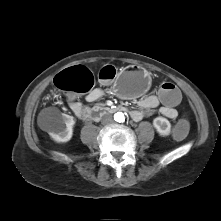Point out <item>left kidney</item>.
I'll use <instances>...</instances> for the list:
<instances>
[{
    "mask_svg": "<svg viewBox=\"0 0 221 221\" xmlns=\"http://www.w3.org/2000/svg\"><path fill=\"white\" fill-rule=\"evenodd\" d=\"M153 126L160 136H168L171 132L170 122L162 116L156 117L153 120Z\"/></svg>",
    "mask_w": 221,
    "mask_h": 221,
    "instance_id": "obj_1",
    "label": "left kidney"
}]
</instances>
